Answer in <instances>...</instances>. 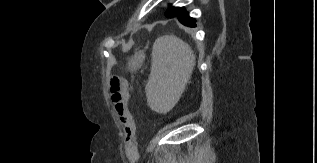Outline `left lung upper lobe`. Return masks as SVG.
<instances>
[{"instance_id": "1", "label": "left lung upper lobe", "mask_w": 317, "mask_h": 163, "mask_svg": "<svg viewBox=\"0 0 317 163\" xmlns=\"http://www.w3.org/2000/svg\"><path fill=\"white\" fill-rule=\"evenodd\" d=\"M179 9H180V7L169 6L167 16L170 17V16L175 15L179 11Z\"/></svg>"}]
</instances>
